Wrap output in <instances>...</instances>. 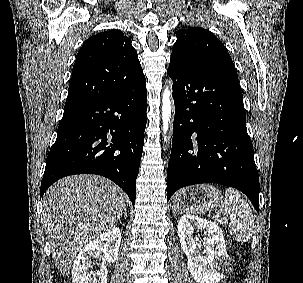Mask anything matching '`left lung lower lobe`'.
I'll return each instance as SVG.
<instances>
[{
	"mask_svg": "<svg viewBox=\"0 0 303 283\" xmlns=\"http://www.w3.org/2000/svg\"><path fill=\"white\" fill-rule=\"evenodd\" d=\"M175 118L167 200L180 188L218 183L242 191L259 211V176L235 68L170 61Z\"/></svg>",
	"mask_w": 303,
	"mask_h": 283,
	"instance_id": "left-lung-lower-lobe-1",
	"label": "left lung lower lobe"
}]
</instances>
